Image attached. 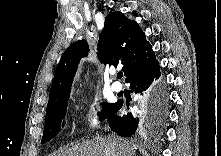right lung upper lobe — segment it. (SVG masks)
Returning a JSON list of instances; mask_svg holds the SVG:
<instances>
[{
  "label": "right lung upper lobe",
  "instance_id": "1",
  "mask_svg": "<svg viewBox=\"0 0 221 156\" xmlns=\"http://www.w3.org/2000/svg\"><path fill=\"white\" fill-rule=\"evenodd\" d=\"M87 51L88 44L80 40L63 53L55 71L47 107L70 93L78 63ZM98 56L100 61L109 66L116 67L122 61L125 81L156 60L152 46L138 23L120 12L107 15L99 37Z\"/></svg>",
  "mask_w": 221,
  "mask_h": 156
}]
</instances>
